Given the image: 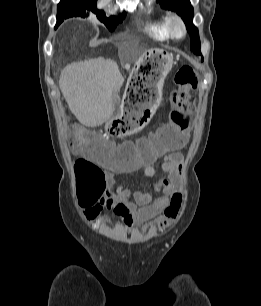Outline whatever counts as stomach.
Masks as SVG:
<instances>
[{
    "mask_svg": "<svg viewBox=\"0 0 261 306\" xmlns=\"http://www.w3.org/2000/svg\"><path fill=\"white\" fill-rule=\"evenodd\" d=\"M174 63L172 53L163 49H150L141 56L138 66H146L147 75L138 83L128 85L115 118L125 135L134 134L149 123L162 100L164 81Z\"/></svg>",
    "mask_w": 261,
    "mask_h": 306,
    "instance_id": "1",
    "label": "stomach"
}]
</instances>
